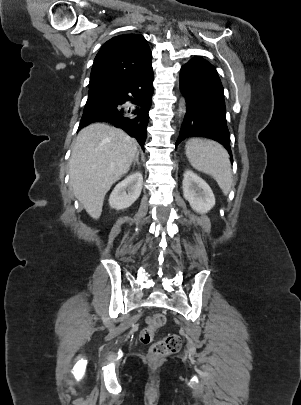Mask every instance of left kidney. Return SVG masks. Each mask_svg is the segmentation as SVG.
<instances>
[{"instance_id":"left-kidney-1","label":"left kidney","mask_w":301,"mask_h":405,"mask_svg":"<svg viewBox=\"0 0 301 405\" xmlns=\"http://www.w3.org/2000/svg\"><path fill=\"white\" fill-rule=\"evenodd\" d=\"M183 197L198 213H207L215 205L210 186L194 172L187 170L183 179Z\"/></svg>"}]
</instances>
